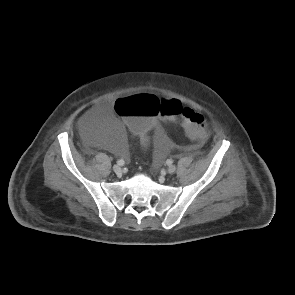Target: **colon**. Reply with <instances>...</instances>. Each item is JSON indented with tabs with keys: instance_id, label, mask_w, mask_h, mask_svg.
Segmentation results:
<instances>
[{
	"instance_id": "5ec220e1",
	"label": "colon",
	"mask_w": 295,
	"mask_h": 295,
	"mask_svg": "<svg viewBox=\"0 0 295 295\" xmlns=\"http://www.w3.org/2000/svg\"><path fill=\"white\" fill-rule=\"evenodd\" d=\"M118 120L137 136H146L157 122L158 114L164 121H181L187 136L195 142L207 138L208 130L204 118L194 109L175 98L164 99L143 92L128 98L119 99L115 104Z\"/></svg>"
}]
</instances>
